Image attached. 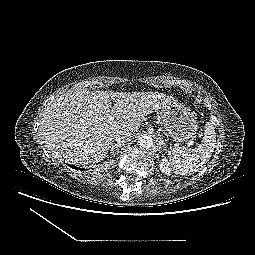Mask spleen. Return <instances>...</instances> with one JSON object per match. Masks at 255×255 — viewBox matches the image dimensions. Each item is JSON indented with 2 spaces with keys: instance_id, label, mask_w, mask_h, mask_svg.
<instances>
[{
  "instance_id": "obj_1",
  "label": "spleen",
  "mask_w": 255,
  "mask_h": 255,
  "mask_svg": "<svg viewBox=\"0 0 255 255\" xmlns=\"http://www.w3.org/2000/svg\"><path fill=\"white\" fill-rule=\"evenodd\" d=\"M215 144L216 133L213 123L207 122L202 143L197 149L178 147L170 151V164L175 174L190 175L201 170L213 154Z\"/></svg>"
}]
</instances>
